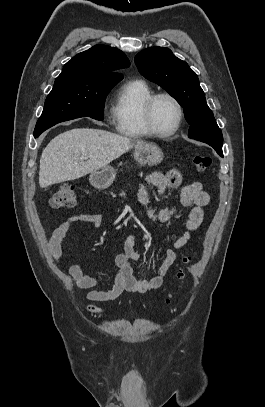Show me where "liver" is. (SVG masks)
<instances>
[{"label": "liver", "mask_w": 265, "mask_h": 407, "mask_svg": "<svg viewBox=\"0 0 265 407\" xmlns=\"http://www.w3.org/2000/svg\"><path fill=\"white\" fill-rule=\"evenodd\" d=\"M143 143L100 129L65 131L52 139L42 152L39 184L47 187L79 179L108 166L132 147ZM81 156L88 160L79 161Z\"/></svg>", "instance_id": "1"}]
</instances>
